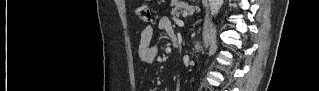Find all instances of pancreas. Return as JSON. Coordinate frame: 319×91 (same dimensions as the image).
Instances as JSON below:
<instances>
[{
  "instance_id": "pancreas-1",
  "label": "pancreas",
  "mask_w": 319,
  "mask_h": 91,
  "mask_svg": "<svg viewBox=\"0 0 319 91\" xmlns=\"http://www.w3.org/2000/svg\"><path fill=\"white\" fill-rule=\"evenodd\" d=\"M174 8L172 9L171 15L173 16V21L177 22L181 13L190 12L193 8L187 4H183L181 2L174 3ZM180 10V11H179Z\"/></svg>"
}]
</instances>
